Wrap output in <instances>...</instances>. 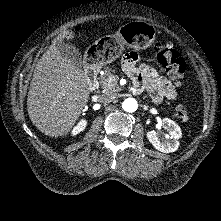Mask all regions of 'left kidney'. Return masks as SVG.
Masks as SVG:
<instances>
[{
	"label": "left kidney",
	"mask_w": 221,
	"mask_h": 221,
	"mask_svg": "<svg viewBox=\"0 0 221 221\" xmlns=\"http://www.w3.org/2000/svg\"><path fill=\"white\" fill-rule=\"evenodd\" d=\"M163 126L169 132V140L161 139L154 131L147 133V138L155 149L164 153H171L178 149L179 138L182 136L181 128L173 120L169 118L163 119Z\"/></svg>",
	"instance_id": "1"
}]
</instances>
